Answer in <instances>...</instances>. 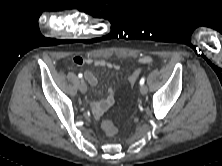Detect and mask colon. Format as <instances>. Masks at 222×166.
Listing matches in <instances>:
<instances>
[{
    "label": "colon",
    "mask_w": 222,
    "mask_h": 166,
    "mask_svg": "<svg viewBox=\"0 0 222 166\" xmlns=\"http://www.w3.org/2000/svg\"><path fill=\"white\" fill-rule=\"evenodd\" d=\"M141 74V70L140 69H136L134 70L131 75L129 76V82L130 84L133 86L135 85V83L137 82L139 76ZM101 127L103 129V131L108 135V136H113L116 134L117 129L115 127V125L113 124V122L109 119H105L102 121L101 123Z\"/></svg>",
    "instance_id": "1"
}]
</instances>
